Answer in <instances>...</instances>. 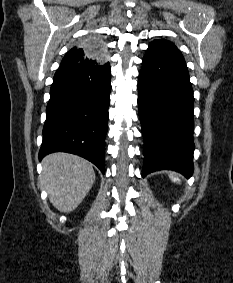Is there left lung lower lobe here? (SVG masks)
Segmentation results:
<instances>
[{"instance_id": "obj_1", "label": "left lung lower lobe", "mask_w": 233, "mask_h": 283, "mask_svg": "<svg viewBox=\"0 0 233 283\" xmlns=\"http://www.w3.org/2000/svg\"><path fill=\"white\" fill-rule=\"evenodd\" d=\"M144 137L142 176L157 170L193 173V90L187 66L173 43L150 44L138 83Z\"/></svg>"}]
</instances>
